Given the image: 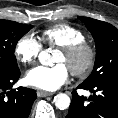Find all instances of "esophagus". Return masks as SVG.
<instances>
[{
  "instance_id": "obj_1",
  "label": "esophagus",
  "mask_w": 118,
  "mask_h": 118,
  "mask_svg": "<svg viewBox=\"0 0 118 118\" xmlns=\"http://www.w3.org/2000/svg\"><path fill=\"white\" fill-rule=\"evenodd\" d=\"M37 95H38V97H47V96L53 95V93L52 92H46L43 90H38Z\"/></svg>"
}]
</instances>
